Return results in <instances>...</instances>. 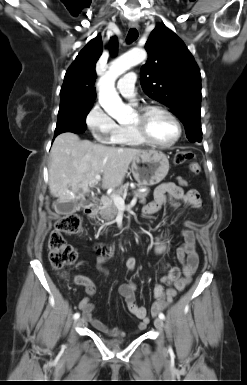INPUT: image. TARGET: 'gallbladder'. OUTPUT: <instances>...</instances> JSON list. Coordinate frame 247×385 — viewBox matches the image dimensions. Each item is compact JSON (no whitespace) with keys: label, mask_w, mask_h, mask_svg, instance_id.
I'll return each instance as SVG.
<instances>
[{"label":"gallbladder","mask_w":247,"mask_h":385,"mask_svg":"<svg viewBox=\"0 0 247 385\" xmlns=\"http://www.w3.org/2000/svg\"><path fill=\"white\" fill-rule=\"evenodd\" d=\"M88 201L85 200H74L66 203L57 201L55 203V210L58 214L69 215L79 211L81 208L86 207Z\"/></svg>","instance_id":"obj_1"}]
</instances>
